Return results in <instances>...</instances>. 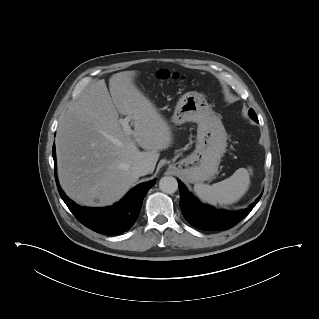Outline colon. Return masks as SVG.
Returning <instances> with one entry per match:
<instances>
[{"instance_id":"obj_1","label":"colon","mask_w":319,"mask_h":319,"mask_svg":"<svg viewBox=\"0 0 319 319\" xmlns=\"http://www.w3.org/2000/svg\"><path fill=\"white\" fill-rule=\"evenodd\" d=\"M173 76L174 75H172L169 71H166V70H162L158 73V77L162 80H168Z\"/></svg>"}]
</instances>
